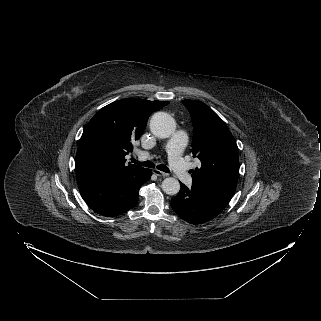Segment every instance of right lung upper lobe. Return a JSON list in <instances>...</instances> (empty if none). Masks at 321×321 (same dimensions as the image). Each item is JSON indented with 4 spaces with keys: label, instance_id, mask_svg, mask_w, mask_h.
<instances>
[{
    "label": "right lung upper lobe",
    "instance_id": "right-lung-upper-lobe-1",
    "mask_svg": "<svg viewBox=\"0 0 321 321\" xmlns=\"http://www.w3.org/2000/svg\"><path fill=\"white\" fill-rule=\"evenodd\" d=\"M169 102L122 99L100 109L85 127L76 158L79 185L100 177L134 173L143 167L125 165V156L142 135L152 112Z\"/></svg>",
    "mask_w": 321,
    "mask_h": 321
}]
</instances>
